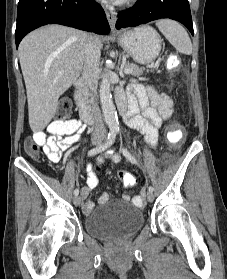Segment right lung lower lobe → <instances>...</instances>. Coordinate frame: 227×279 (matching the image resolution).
I'll return each instance as SVG.
<instances>
[{
	"instance_id": "98d812e1",
	"label": "right lung lower lobe",
	"mask_w": 227,
	"mask_h": 279,
	"mask_svg": "<svg viewBox=\"0 0 227 279\" xmlns=\"http://www.w3.org/2000/svg\"><path fill=\"white\" fill-rule=\"evenodd\" d=\"M46 24H61L104 35L110 32L105 13L95 0H19L16 47L26 34Z\"/></svg>"
}]
</instances>
